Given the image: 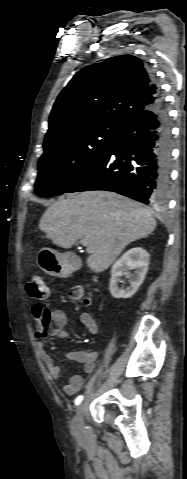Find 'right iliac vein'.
Listing matches in <instances>:
<instances>
[{
	"label": "right iliac vein",
	"mask_w": 187,
	"mask_h": 479,
	"mask_svg": "<svg viewBox=\"0 0 187 479\" xmlns=\"http://www.w3.org/2000/svg\"><path fill=\"white\" fill-rule=\"evenodd\" d=\"M86 407L84 403H81L76 408L75 416L72 420L71 426L75 433H80L83 426V415L85 413Z\"/></svg>",
	"instance_id": "63e3f726"
}]
</instances>
